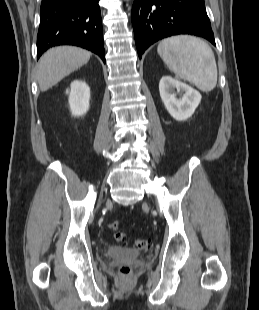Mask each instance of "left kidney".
Here are the masks:
<instances>
[{
	"label": "left kidney",
	"instance_id": "left-kidney-1",
	"mask_svg": "<svg viewBox=\"0 0 259 310\" xmlns=\"http://www.w3.org/2000/svg\"><path fill=\"white\" fill-rule=\"evenodd\" d=\"M159 92L168 113L177 121L190 118L202 98L197 90L171 76L161 78Z\"/></svg>",
	"mask_w": 259,
	"mask_h": 310
}]
</instances>
